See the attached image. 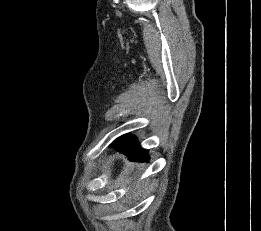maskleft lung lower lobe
Masks as SVG:
<instances>
[{"instance_id": "0a47b994", "label": "left lung lower lobe", "mask_w": 261, "mask_h": 231, "mask_svg": "<svg viewBox=\"0 0 261 231\" xmlns=\"http://www.w3.org/2000/svg\"><path fill=\"white\" fill-rule=\"evenodd\" d=\"M110 146L123 154H127L130 160L145 161L149 159L147 150L142 149L136 139L120 140Z\"/></svg>"}]
</instances>
